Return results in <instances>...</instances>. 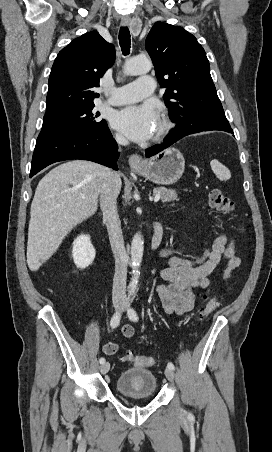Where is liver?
I'll return each instance as SVG.
<instances>
[{
    "label": "liver",
    "mask_w": 272,
    "mask_h": 452,
    "mask_svg": "<svg viewBox=\"0 0 272 452\" xmlns=\"http://www.w3.org/2000/svg\"><path fill=\"white\" fill-rule=\"evenodd\" d=\"M109 171L86 160L63 163L38 183L31 204L27 264L37 271L79 223L97 211L98 197ZM121 179L117 188L121 189Z\"/></svg>",
    "instance_id": "1"
}]
</instances>
